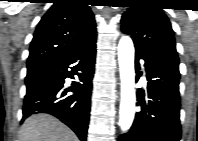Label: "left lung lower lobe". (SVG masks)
Masks as SVG:
<instances>
[{
    "label": "left lung lower lobe",
    "mask_w": 198,
    "mask_h": 141,
    "mask_svg": "<svg viewBox=\"0 0 198 141\" xmlns=\"http://www.w3.org/2000/svg\"><path fill=\"white\" fill-rule=\"evenodd\" d=\"M140 59L145 61L147 90L138 89L140 111L130 130L121 135L119 141H179V64L171 59L150 57L136 51V70L139 69Z\"/></svg>",
    "instance_id": "obj_1"
}]
</instances>
